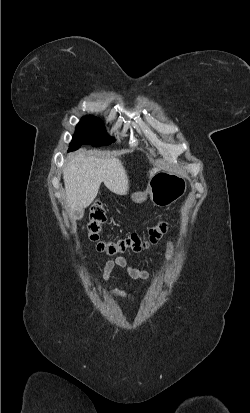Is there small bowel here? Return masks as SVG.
Instances as JSON below:
<instances>
[{
	"label": "small bowel",
	"mask_w": 250,
	"mask_h": 413,
	"mask_svg": "<svg viewBox=\"0 0 250 413\" xmlns=\"http://www.w3.org/2000/svg\"><path fill=\"white\" fill-rule=\"evenodd\" d=\"M174 255V245L172 242H168L166 245L165 258L167 261L171 260ZM115 267H120L126 270L128 275L132 279L136 280H147L150 278V273L147 270L135 268L130 266L127 260L122 256H117L113 259H110L106 262L103 269V278L106 282L109 281L111 272ZM111 295L116 298H130L131 294L126 290L121 289H112Z\"/></svg>",
	"instance_id": "small-bowel-1"
}]
</instances>
